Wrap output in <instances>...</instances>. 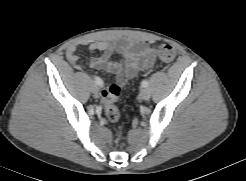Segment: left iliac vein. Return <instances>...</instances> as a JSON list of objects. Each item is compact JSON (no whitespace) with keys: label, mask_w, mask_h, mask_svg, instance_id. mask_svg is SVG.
Segmentation results:
<instances>
[{"label":"left iliac vein","mask_w":246,"mask_h":181,"mask_svg":"<svg viewBox=\"0 0 246 181\" xmlns=\"http://www.w3.org/2000/svg\"><path fill=\"white\" fill-rule=\"evenodd\" d=\"M151 94L148 88H142L139 94V97L143 100H148Z\"/></svg>","instance_id":"obj_1"}]
</instances>
